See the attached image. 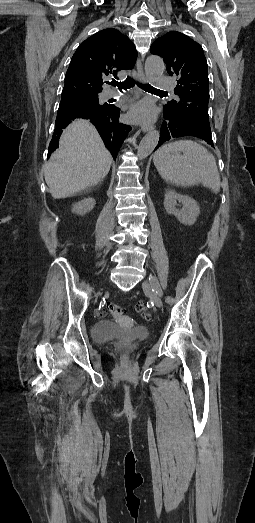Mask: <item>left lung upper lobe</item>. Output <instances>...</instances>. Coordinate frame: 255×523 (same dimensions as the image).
Masks as SVG:
<instances>
[{
	"instance_id": "obj_1",
	"label": "left lung upper lobe",
	"mask_w": 255,
	"mask_h": 523,
	"mask_svg": "<svg viewBox=\"0 0 255 523\" xmlns=\"http://www.w3.org/2000/svg\"><path fill=\"white\" fill-rule=\"evenodd\" d=\"M150 51L164 59L168 74L177 78V83L180 84L174 89L179 99L163 106V117L166 115L165 111L172 110L171 115L177 111L176 115H184L187 121L202 125L205 130H214L209 122L208 67L202 47L188 36L171 31L158 38L151 45Z\"/></svg>"
}]
</instances>
